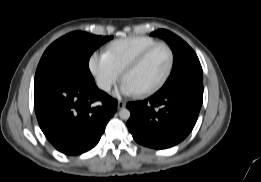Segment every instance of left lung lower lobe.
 <instances>
[{
	"label": "left lung lower lobe",
	"instance_id": "1",
	"mask_svg": "<svg viewBox=\"0 0 261 182\" xmlns=\"http://www.w3.org/2000/svg\"><path fill=\"white\" fill-rule=\"evenodd\" d=\"M203 101V82H192L164 94L130 102L128 129L136 142L154 149L172 147L192 131Z\"/></svg>",
	"mask_w": 261,
	"mask_h": 182
}]
</instances>
